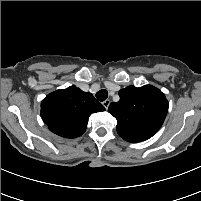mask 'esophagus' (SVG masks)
Masks as SVG:
<instances>
[{
  "label": "esophagus",
  "instance_id": "obj_1",
  "mask_svg": "<svg viewBox=\"0 0 201 201\" xmlns=\"http://www.w3.org/2000/svg\"><path fill=\"white\" fill-rule=\"evenodd\" d=\"M102 104H103V106H104L106 109H108V107H109V105H110V100L107 99V100L103 101Z\"/></svg>",
  "mask_w": 201,
  "mask_h": 201
}]
</instances>
